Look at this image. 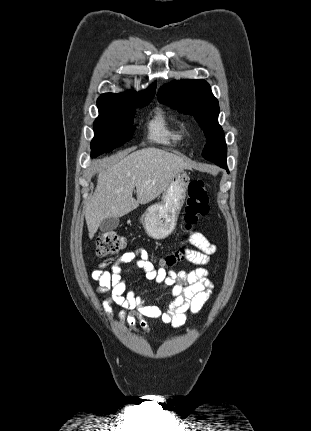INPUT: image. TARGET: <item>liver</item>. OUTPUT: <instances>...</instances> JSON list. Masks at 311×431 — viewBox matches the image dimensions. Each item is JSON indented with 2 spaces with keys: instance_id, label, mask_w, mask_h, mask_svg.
<instances>
[{
  "instance_id": "1",
  "label": "liver",
  "mask_w": 311,
  "mask_h": 431,
  "mask_svg": "<svg viewBox=\"0 0 311 431\" xmlns=\"http://www.w3.org/2000/svg\"><path fill=\"white\" fill-rule=\"evenodd\" d=\"M135 150V148H134ZM126 156H119L107 170L100 172L96 190L85 210L90 239L106 217H122L149 204L165 192L179 172L191 170L180 156L143 148ZM136 190V198L133 192Z\"/></svg>"
}]
</instances>
